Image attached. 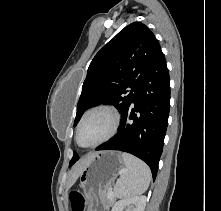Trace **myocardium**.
<instances>
[{
	"instance_id": "1",
	"label": "myocardium",
	"mask_w": 221,
	"mask_h": 211,
	"mask_svg": "<svg viewBox=\"0 0 221 211\" xmlns=\"http://www.w3.org/2000/svg\"><path fill=\"white\" fill-rule=\"evenodd\" d=\"M97 112H103V113H106L110 116V118H111V127H110L108 133L103 138L98 140L97 142H95L93 144H90V145H83L79 141L80 129H81L84 121L90 115H92L94 113H97ZM119 125H120V115L114 108H112L111 106H108V105H104V104L96 105V106L90 108L89 110H87L83 114V116L81 117V119H80V121L77 125V129H76V134H75L76 142L79 146L84 147V148L97 147V146H99L101 144H104L105 142L109 141L111 138H113L115 136V134L117 133V131H118Z\"/></svg>"
}]
</instances>
